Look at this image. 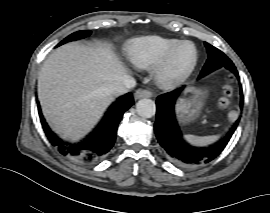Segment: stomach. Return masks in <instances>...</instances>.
<instances>
[{
	"label": "stomach",
	"instance_id": "1",
	"mask_svg": "<svg viewBox=\"0 0 270 213\" xmlns=\"http://www.w3.org/2000/svg\"><path fill=\"white\" fill-rule=\"evenodd\" d=\"M204 94L199 89H194L190 96L180 98L176 105V114L180 122L193 121L200 113Z\"/></svg>",
	"mask_w": 270,
	"mask_h": 213
}]
</instances>
